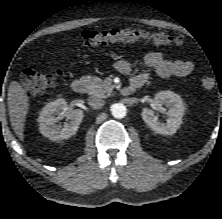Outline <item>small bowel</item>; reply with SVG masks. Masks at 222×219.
Instances as JSON below:
<instances>
[{"mask_svg": "<svg viewBox=\"0 0 222 219\" xmlns=\"http://www.w3.org/2000/svg\"><path fill=\"white\" fill-rule=\"evenodd\" d=\"M141 64L145 67L152 68L156 74L161 78H168L170 76H187L194 70V65L191 61L179 58H168L161 52L147 53ZM115 69L124 74L130 75L133 66L130 62L119 59L114 63ZM147 80V75L144 73L137 74L130 78L131 83L143 84Z\"/></svg>", "mask_w": 222, "mask_h": 219, "instance_id": "obj_1", "label": "small bowel"}]
</instances>
